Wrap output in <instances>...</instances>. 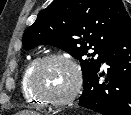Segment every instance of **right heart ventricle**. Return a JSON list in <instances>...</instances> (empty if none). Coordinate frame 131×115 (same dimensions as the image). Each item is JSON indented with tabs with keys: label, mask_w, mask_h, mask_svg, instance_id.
I'll list each match as a JSON object with an SVG mask.
<instances>
[{
	"label": "right heart ventricle",
	"mask_w": 131,
	"mask_h": 115,
	"mask_svg": "<svg viewBox=\"0 0 131 115\" xmlns=\"http://www.w3.org/2000/svg\"><path fill=\"white\" fill-rule=\"evenodd\" d=\"M39 60L38 57H35L31 60H29L26 65L24 66L21 77H20V90L21 93L25 99V101L35 107H40L43 105V103L35 97L29 88V76L31 73L32 68L36 64V62Z\"/></svg>",
	"instance_id": "right-heart-ventricle-1"
}]
</instances>
